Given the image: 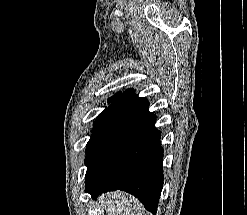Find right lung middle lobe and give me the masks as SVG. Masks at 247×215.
Segmentation results:
<instances>
[{
	"instance_id": "right-lung-middle-lobe-1",
	"label": "right lung middle lobe",
	"mask_w": 247,
	"mask_h": 215,
	"mask_svg": "<svg viewBox=\"0 0 247 215\" xmlns=\"http://www.w3.org/2000/svg\"><path fill=\"white\" fill-rule=\"evenodd\" d=\"M122 92L117 93L116 95H114L112 98L108 99V102L112 103V106L121 98L122 96ZM108 107L106 108L104 111H102L99 116L97 117V119L94 122V128L97 126V124L101 121V119L107 114V112L110 110V108L112 107ZM93 128V129H94ZM93 131V130H92Z\"/></svg>"
}]
</instances>
